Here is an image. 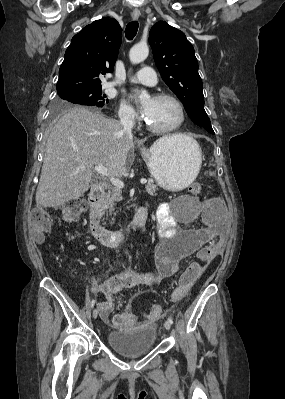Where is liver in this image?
I'll list each match as a JSON object with an SVG mask.
<instances>
[{
	"label": "liver",
	"mask_w": 285,
	"mask_h": 399,
	"mask_svg": "<svg viewBox=\"0 0 285 399\" xmlns=\"http://www.w3.org/2000/svg\"><path fill=\"white\" fill-rule=\"evenodd\" d=\"M146 140L134 141L120 122L96 111L70 109L49 134L36 191L37 206L55 208L81 197L93 182L98 184L92 177L94 166L108 169L103 185L107 178L122 177L133 163L131 150Z\"/></svg>",
	"instance_id": "obj_1"
}]
</instances>
